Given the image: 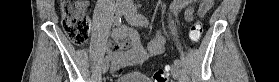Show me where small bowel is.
Returning <instances> with one entry per match:
<instances>
[{"label": "small bowel", "instance_id": "c3829d8e", "mask_svg": "<svg viewBox=\"0 0 279 82\" xmlns=\"http://www.w3.org/2000/svg\"><path fill=\"white\" fill-rule=\"evenodd\" d=\"M195 2V0H174L169 9L170 17H176L181 11H184L186 22H191L196 12ZM211 6L205 8L203 0L197 14L204 17ZM204 8L205 11H203ZM164 48L165 41L162 36H157L148 44L147 48H144L140 42L138 32L123 25L113 31L112 41L107 45L106 50L111 62V71L115 73L121 68L144 63L151 56L161 54Z\"/></svg>", "mask_w": 279, "mask_h": 82}]
</instances>
